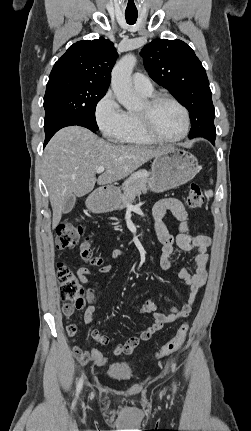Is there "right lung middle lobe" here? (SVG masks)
<instances>
[{
    "mask_svg": "<svg viewBox=\"0 0 251 431\" xmlns=\"http://www.w3.org/2000/svg\"><path fill=\"white\" fill-rule=\"evenodd\" d=\"M107 89L74 77H50L44 96V129L63 120H78L98 130L95 109Z\"/></svg>",
    "mask_w": 251,
    "mask_h": 431,
    "instance_id": "right-lung-middle-lobe-1",
    "label": "right lung middle lobe"
}]
</instances>
